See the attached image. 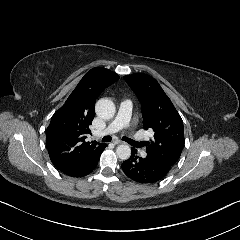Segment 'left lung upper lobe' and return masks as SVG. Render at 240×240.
Instances as JSON below:
<instances>
[{
  "instance_id": "5c2ea615",
  "label": "left lung upper lobe",
  "mask_w": 240,
  "mask_h": 240,
  "mask_svg": "<svg viewBox=\"0 0 240 240\" xmlns=\"http://www.w3.org/2000/svg\"><path fill=\"white\" fill-rule=\"evenodd\" d=\"M124 78L141 103L143 127L154 132V140L146 147L147 155L172 167L184 146V127L179 113L153 77L136 73Z\"/></svg>"
}]
</instances>
